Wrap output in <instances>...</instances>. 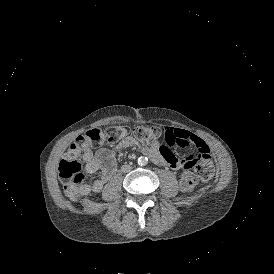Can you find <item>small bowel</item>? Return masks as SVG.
Returning <instances> with one entry per match:
<instances>
[{"instance_id":"1","label":"small bowel","mask_w":274,"mask_h":274,"mask_svg":"<svg viewBox=\"0 0 274 274\" xmlns=\"http://www.w3.org/2000/svg\"><path fill=\"white\" fill-rule=\"evenodd\" d=\"M165 134V144L160 147V152L158 144L139 146L137 141L131 136L123 137L118 142L116 149L120 150L138 145L140 150L158 166L169 165L172 168H190L192 164L198 163L196 170L199 177L209 178L212 175L211 165L213 164V157L206 141L196 134L176 127H167ZM188 145L198 148L200 154H193L192 156L180 155L178 157V154L175 152L177 147H186ZM81 150L86 171L90 174L101 171V175L91 185L82 184L79 195L86 196L90 192L99 193L116 171L114 153L108 149L93 151L91 143L88 142L82 144ZM160 153L167 157L169 163Z\"/></svg>"}]
</instances>
